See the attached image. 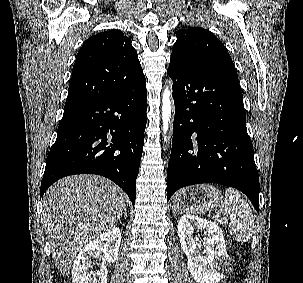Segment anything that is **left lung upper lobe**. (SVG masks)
I'll return each instance as SVG.
<instances>
[{
    "label": "left lung upper lobe",
    "instance_id": "1",
    "mask_svg": "<svg viewBox=\"0 0 303 283\" xmlns=\"http://www.w3.org/2000/svg\"><path fill=\"white\" fill-rule=\"evenodd\" d=\"M171 61L186 67L224 65L234 68L233 61L219 39L209 30L192 27L178 31Z\"/></svg>",
    "mask_w": 303,
    "mask_h": 283
}]
</instances>
